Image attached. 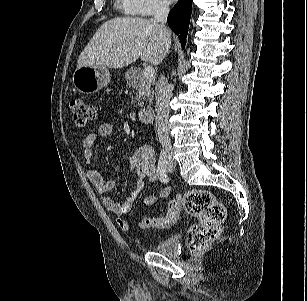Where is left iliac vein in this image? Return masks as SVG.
Instances as JSON below:
<instances>
[{
    "label": "left iliac vein",
    "instance_id": "obj_1",
    "mask_svg": "<svg viewBox=\"0 0 307 301\" xmlns=\"http://www.w3.org/2000/svg\"><path fill=\"white\" fill-rule=\"evenodd\" d=\"M169 156L171 158V154H169ZM167 169H168L169 172L173 171V161L172 160H170V163L168 164Z\"/></svg>",
    "mask_w": 307,
    "mask_h": 301
}]
</instances>
